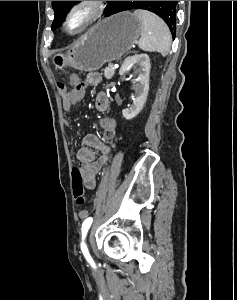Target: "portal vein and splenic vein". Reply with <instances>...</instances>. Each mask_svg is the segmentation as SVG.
Listing matches in <instances>:
<instances>
[{
  "label": "portal vein and splenic vein",
  "mask_w": 237,
  "mask_h": 300,
  "mask_svg": "<svg viewBox=\"0 0 237 300\" xmlns=\"http://www.w3.org/2000/svg\"><path fill=\"white\" fill-rule=\"evenodd\" d=\"M109 64H110V65H109L108 67L111 69V68L113 67V66L111 65L112 63L110 62Z\"/></svg>",
  "instance_id": "portal-vein-and-splenic-vein-1"
}]
</instances>
